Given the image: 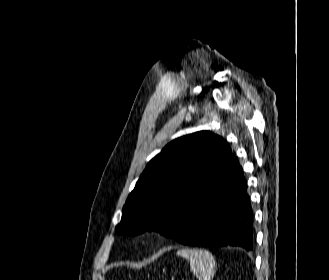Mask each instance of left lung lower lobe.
<instances>
[{
    "mask_svg": "<svg viewBox=\"0 0 329 280\" xmlns=\"http://www.w3.org/2000/svg\"><path fill=\"white\" fill-rule=\"evenodd\" d=\"M247 184L236 159L225 172L218 190L205 194L192 214L164 235L201 247L238 246L252 250V209Z\"/></svg>",
    "mask_w": 329,
    "mask_h": 280,
    "instance_id": "obj_1",
    "label": "left lung lower lobe"
}]
</instances>
